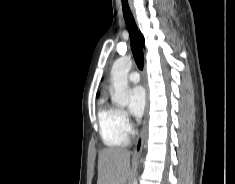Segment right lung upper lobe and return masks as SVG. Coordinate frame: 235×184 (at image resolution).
<instances>
[{"label": "right lung upper lobe", "instance_id": "1", "mask_svg": "<svg viewBox=\"0 0 235 184\" xmlns=\"http://www.w3.org/2000/svg\"><path fill=\"white\" fill-rule=\"evenodd\" d=\"M141 39H142V43L144 44V38L143 36L141 35ZM99 95V93L97 94V96Z\"/></svg>", "mask_w": 235, "mask_h": 184}]
</instances>
